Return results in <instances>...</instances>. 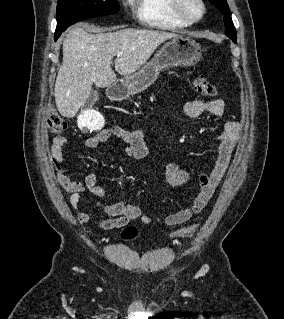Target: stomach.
Instances as JSON below:
<instances>
[{
  "label": "stomach",
  "mask_w": 284,
  "mask_h": 319,
  "mask_svg": "<svg viewBox=\"0 0 284 319\" xmlns=\"http://www.w3.org/2000/svg\"><path fill=\"white\" fill-rule=\"evenodd\" d=\"M202 56L200 45L190 37L176 36L165 43L137 73L121 79L128 94L140 93L147 89L158 77L162 69L175 66H191Z\"/></svg>",
  "instance_id": "1"
}]
</instances>
